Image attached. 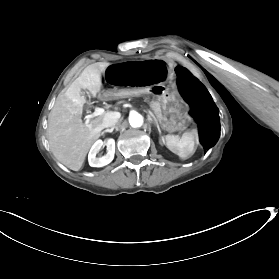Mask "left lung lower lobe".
Returning a JSON list of instances; mask_svg holds the SVG:
<instances>
[{"instance_id":"1","label":"left lung lower lobe","mask_w":279,"mask_h":279,"mask_svg":"<svg viewBox=\"0 0 279 279\" xmlns=\"http://www.w3.org/2000/svg\"><path fill=\"white\" fill-rule=\"evenodd\" d=\"M178 89L190 105V114L198 123L200 140L205 150L213 147L220 137L218 108L204 85L194 79L190 72L181 66L176 68Z\"/></svg>"}]
</instances>
